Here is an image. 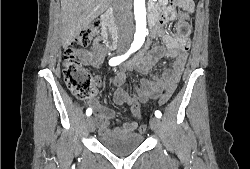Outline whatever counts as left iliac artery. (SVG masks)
Segmentation results:
<instances>
[{"mask_svg":"<svg viewBox=\"0 0 250 169\" xmlns=\"http://www.w3.org/2000/svg\"><path fill=\"white\" fill-rule=\"evenodd\" d=\"M155 116L157 118H161L162 114H161V112L159 110H157V111H155Z\"/></svg>","mask_w":250,"mask_h":169,"instance_id":"44dca946","label":"left iliac artery"}]
</instances>
